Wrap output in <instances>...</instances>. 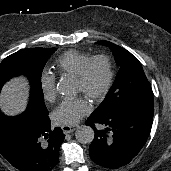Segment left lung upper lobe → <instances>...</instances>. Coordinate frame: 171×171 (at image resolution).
Masks as SVG:
<instances>
[{"label": "left lung upper lobe", "instance_id": "5c2ea615", "mask_svg": "<svg viewBox=\"0 0 171 171\" xmlns=\"http://www.w3.org/2000/svg\"><path fill=\"white\" fill-rule=\"evenodd\" d=\"M97 43L106 45L113 51L120 69L106 98L91 116H109L131 110L153 113L152 88L138 59L109 41Z\"/></svg>", "mask_w": 171, "mask_h": 171}]
</instances>
